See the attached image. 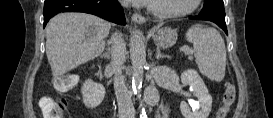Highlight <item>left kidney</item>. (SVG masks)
Returning a JSON list of instances; mask_svg holds the SVG:
<instances>
[{
  "label": "left kidney",
  "instance_id": "1",
  "mask_svg": "<svg viewBox=\"0 0 273 118\" xmlns=\"http://www.w3.org/2000/svg\"><path fill=\"white\" fill-rule=\"evenodd\" d=\"M181 81L184 85L192 87L194 96L198 98V107L192 108V111L185 101L180 103L184 118H208L212 108V97L200 75L197 71L188 69L181 74Z\"/></svg>",
  "mask_w": 273,
  "mask_h": 118
}]
</instances>
